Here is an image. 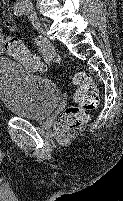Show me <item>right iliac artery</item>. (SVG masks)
Returning a JSON list of instances; mask_svg holds the SVG:
<instances>
[{
  "label": "right iliac artery",
  "instance_id": "obj_1",
  "mask_svg": "<svg viewBox=\"0 0 123 201\" xmlns=\"http://www.w3.org/2000/svg\"><path fill=\"white\" fill-rule=\"evenodd\" d=\"M13 12L16 16H22L24 14V8L22 4L19 2H15L12 6ZM36 43L39 46L41 52L43 53L44 57L47 59V61H50V55H49V50L47 47L43 44L40 38L36 39Z\"/></svg>",
  "mask_w": 123,
  "mask_h": 201
}]
</instances>
